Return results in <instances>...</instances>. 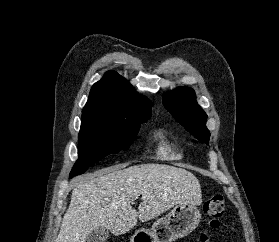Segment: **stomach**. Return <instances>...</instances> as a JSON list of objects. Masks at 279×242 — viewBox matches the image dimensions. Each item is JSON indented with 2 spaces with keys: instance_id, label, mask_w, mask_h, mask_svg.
<instances>
[{
  "instance_id": "1",
  "label": "stomach",
  "mask_w": 279,
  "mask_h": 242,
  "mask_svg": "<svg viewBox=\"0 0 279 242\" xmlns=\"http://www.w3.org/2000/svg\"><path fill=\"white\" fill-rule=\"evenodd\" d=\"M201 220L200 210L190 203H178L165 219L157 220L151 229H139L131 242H173L195 230Z\"/></svg>"
}]
</instances>
